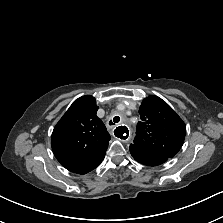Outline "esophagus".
I'll use <instances>...</instances> for the list:
<instances>
[{"mask_svg": "<svg viewBox=\"0 0 223 223\" xmlns=\"http://www.w3.org/2000/svg\"><path fill=\"white\" fill-rule=\"evenodd\" d=\"M113 135L115 138L127 142L130 139V131L128 130L127 127L125 126H117L113 130Z\"/></svg>", "mask_w": 223, "mask_h": 223, "instance_id": "1", "label": "esophagus"}]
</instances>
